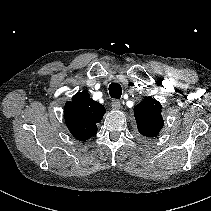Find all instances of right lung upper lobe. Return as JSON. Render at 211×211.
I'll use <instances>...</instances> for the list:
<instances>
[{"label": "right lung upper lobe", "instance_id": "cb5924a9", "mask_svg": "<svg viewBox=\"0 0 211 211\" xmlns=\"http://www.w3.org/2000/svg\"><path fill=\"white\" fill-rule=\"evenodd\" d=\"M65 122L71 134L85 141L97 133V125L105 114V107L90 98L86 91L78 92L65 104Z\"/></svg>", "mask_w": 211, "mask_h": 211}]
</instances>
